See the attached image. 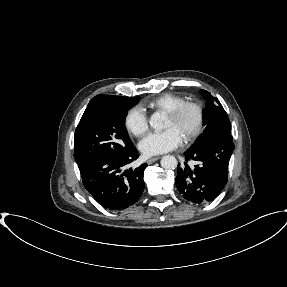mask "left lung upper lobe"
<instances>
[{"instance_id":"obj_1","label":"left lung upper lobe","mask_w":287,"mask_h":287,"mask_svg":"<svg viewBox=\"0 0 287 287\" xmlns=\"http://www.w3.org/2000/svg\"><path fill=\"white\" fill-rule=\"evenodd\" d=\"M200 95L208 102L203 110L205 129L191 149H201L231 133L230 120L219 100L206 90H201Z\"/></svg>"}]
</instances>
